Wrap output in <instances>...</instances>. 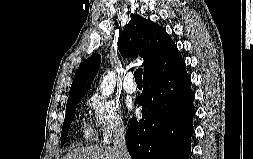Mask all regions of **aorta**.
Here are the masks:
<instances>
[{"mask_svg": "<svg viewBox=\"0 0 253 159\" xmlns=\"http://www.w3.org/2000/svg\"><path fill=\"white\" fill-rule=\"evenodd\" d=\"M115 73L108 71L100 83V90L104 96L112 94L115 87Z\"/></svg>", "mask_w": 253, "mask_h": 159, "instance_id": "762f6f07", "label": "aorta"}]
</instances>
